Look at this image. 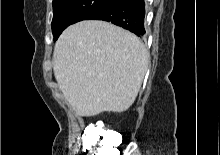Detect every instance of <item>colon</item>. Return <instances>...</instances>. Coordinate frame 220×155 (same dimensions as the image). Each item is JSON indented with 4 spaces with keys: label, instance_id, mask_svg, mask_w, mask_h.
<instances>
[{
    "label": "colon",
    "instance_id": "5ec220e1",
    "mask_svg": "<svg viewBox=\"0 0 220 155\" xmlns=\"http://www.w3.org/2000/svg\"><path fill=\"white\" fill-rule=\"evenodd\" d=\"M84 141L87 143L83 150L84 155H114L115 146L111 142V136L107 133L91 130Z\"/></svg>",
    "mask_w": 220,
    "mask_h": 155
}]
</instances>
